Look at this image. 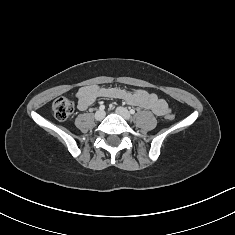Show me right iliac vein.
Instances as JSON below:
<instances>
[{
	"label": "right iliac vein",
	"instance_id": "obj_1",
	"mask_svg": "<svg viewBox=\"0 0 235 235\" xmlns=\"http://www.w3.org/2000/svg\"><path fill=\"white\" fill-rule=\"evenodd\" d=\"M94 117H95V119H96L97 121H101V120H103V118L105 117V112L102 111V110H98V111L95 113Z\"/></svg>",
	"mask_w": 235,
	"mask_h": 235
}]
</instances>
